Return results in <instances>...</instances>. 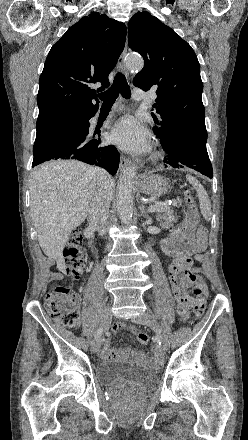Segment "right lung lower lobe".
Wrapping results in <instances>:
<instances>
[{
	"instance_id": "obj_1",
	"label": "right lung lower lobe",
	"mask_w": 248,
	"mask_h": 440,
	"mask_svg": "<svg viewBox=\"0 0 248 440\" xmlns=\"http://www.w3.org/2000/svg\"><path fill=\"white\" fill-rule=\"evenodd\" d=\"M97 110L71 114L37 129L32 167L51 159H76L115 175L120 160L117 149L112 145L100 147L103 139L89 135V119Z\"/></svg>"
}]
</instances>
